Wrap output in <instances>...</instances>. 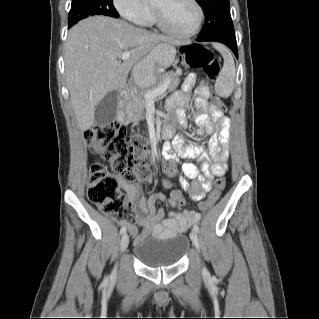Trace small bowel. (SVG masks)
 <instances>
[{"mask_svg":"<svg viewBox=\"0 0 319 319\" xmlns=\"http://www.w3.org/2000/svg\"><path fill=\"white\" fill-rule=\"evenodd\" d=\"M192 90L195 94L194 121L196 134L198 137L210 136L209 150L214 163L210 164L206 160V155L201 145H186L182 137H177L170 147L164 149L167 154L164 170L167 175L175 174V163L179 157L198 159L202 175L196 165L189 162L184 163L182 165L184 176L180 177L179 184L188 193L192 201L199 202L211 190V179L227 172L226 159L231 121L221 109L208 106L207 88L200 82L196 73H190L182 82L180 91L173 94L168 102L170 108L175 105L179 106L177 115L184 126L188 125L185 108L190 105ZM149 181L150 178H142L137 182H128L118 177L119 186L127 195L128 205L136 206L135 221L137 225L144 228V232L138 234L137 227L126 220H118V224L121 227H125L135 237L136 242L141 241L150 232L157 235H167L186 231L192 223L200 220L201 215L190 208L169 212L165 218L164 211L156 209L158 201L167 202L173 207H180V205L163 193L152 194L149 198H146L142 191V184Z\"/></svg>","mask_w":319,"mask_h":319,"instance_id":"obj_1","label":"small bowel"}]
</instances>
